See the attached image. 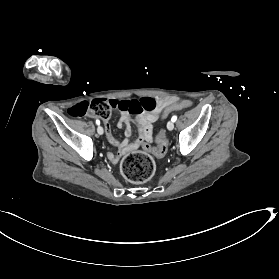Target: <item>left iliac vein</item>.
Returning a JSON list of instances; mask_svg holds the SVG:
<instances>
[{
  "label": "left iliac vein",
  "instance_id": "obj_1",
  "mask_svg": "<svg viewBox=\"0 0 279 279\" xmlns=\"http://www.w3.org/2000/svg\"><path fill=\"white\" fill-rule=\"evenodd\" d=\"M167 128H168V130H173V129H174V123H173V121H169V122L167 123Z\"/></svg>",
  "mask_w": 279,
  "mask_h": 279
}]
</instances>
